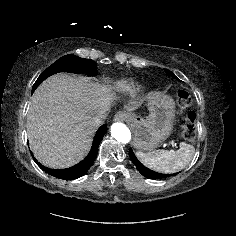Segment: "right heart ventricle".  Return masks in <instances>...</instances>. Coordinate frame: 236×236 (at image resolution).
<instances>
[{"label":"right heart ventricle","mask_w":236,"mask_h":236,"mask_svg":"<svg viewBox=\"0 0 236 236\" xmlns=\"http://www.w3.org/2000/svg\"><path fill=\"white\" fill-rule=\"evenodd\" d=\"M129 83H127V82H119L118 83V87L120 88V89H127V88H129Z\"/></svg>","instance_id":"right-heart-ventricle-1"}]
</instances>
